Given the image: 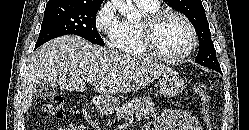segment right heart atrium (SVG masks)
<instances>
[{"label":"right heart atrium","instance_id":"right-heart-atrium-1","mask_svg":"<svg viewBox=\"0 0 249 130\" xmlns=\"http://www.w3.org/2000/svg\"><path fill=\"white\" fill-rule=\"evenodd\" d=\"M96 30L102 36L107 45L115 47L121 28V21L116 15L111 2H105L97 11L94 19Z\"/></svg>","mask_w":249,"mask_h":130}]
</instances>
